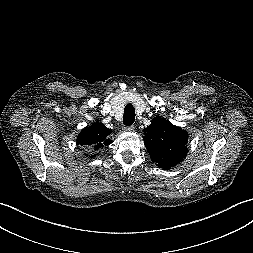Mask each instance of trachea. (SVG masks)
Here are the masks:
<instances>
[{
  "instance_id": "trachea-1",
  "label": "trachea",
  "mask_w": 253,
  "mask_h": 253,
  "mask_svg": "<svg viewBox=\"0 0 253 253\" xmlns=\"http://www.w3.org/2000/svg\"><path fill=\"white\" fill-rule=\"evenodd\" d=\"M135 120V109L132 104H127L124 109L123 124L130 126Z\"/></svg>"
}]
</instances>
